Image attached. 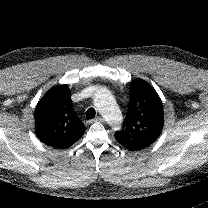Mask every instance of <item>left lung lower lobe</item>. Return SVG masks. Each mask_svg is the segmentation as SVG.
<instances>
[{"label":"left lung lower lobe","instance_id":"left-lung-lower-lobe-1","mask_svg":"<svg viewBox=\"0 0 208 208\" xmlns=\"http://www.w3.org/2000/svg\"><path fill=\"white\" fill-rule=\"evenodd\" d=\"M125 148L128 149V150H135V149H132V148L129 147V146H126Z\"/></svg>","mask_w":208,"mask_h":208}]
</instances>
